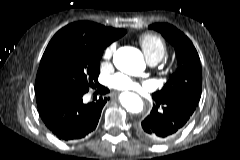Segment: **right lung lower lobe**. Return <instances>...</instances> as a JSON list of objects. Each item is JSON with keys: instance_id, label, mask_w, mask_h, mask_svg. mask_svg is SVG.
Returning <instances> with one entry per match:
<instances>
[{"instance_id": "right-lung-lower-lobe-1", "label": "right lung lower lobe", "mask_w": 240, "mask_h": 160, "mask_svg": "<svg viewBox=\"0 0 240 160\" xmlns=\"http://www.w3.org/2000/svg\"><path fill=\"white\" fill-rule=\"evenodd\" d=\"M100 94L109 90L97 86ZM83 95L60 92L36 97L39 114L49 130L60 140L75 141L89 135L97 126L101 111L109 98L83 103Z\"/></svg>"}]
</instances>
